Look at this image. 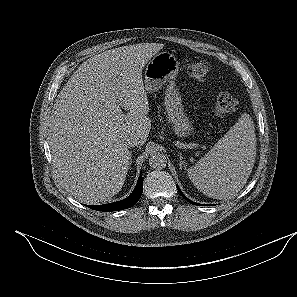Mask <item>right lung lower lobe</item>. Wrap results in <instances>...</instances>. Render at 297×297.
<instances>
[{
	"label": "right lung lower lobe",
	"mask_w": 297,
	"mask_h": 297,
	"mask_svg": "<svg viewBox=\"0 0 297 297\" xmlns=\"http://www.w3.org/2000/svg\"><path fill=\"white\" fill-rule=\"evenodd\" d=\"M142 192H143V178L140 175L135 189L126 199L122 201L114 202V203L97 205V206H88V207L93 210L105 211V212L127 209L134 206L138 202Z\"/></svg>",
	"instance_id": "obj_1"
}]
</instances>
